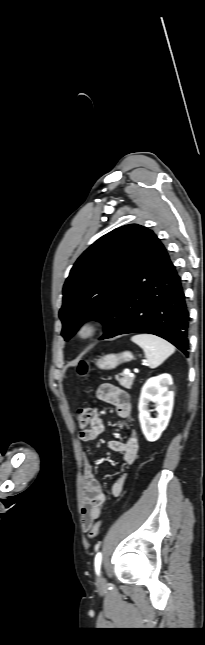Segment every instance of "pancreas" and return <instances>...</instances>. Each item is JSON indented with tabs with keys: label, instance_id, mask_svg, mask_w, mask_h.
<instances>
[{
	"label": "pancreas",
	"instance_id": "cf45deb5",
	"mask_svg": "<svg viewBox=\"0 0 205 645\" xmlns=\"http://www.w3.org/2000/svg\"><path fill=\"white\" fill-rule=\"evenodd\" d=\"M115 378L119 382L120 385H122L123 387H125L127 389L131 388V386L133 384V380H134V377H132L130 375H127L125 373H120L119 376H116Z\"/></svg>",
	"mask_w": 205,
	"mask_h": 645
}]
</instances>
